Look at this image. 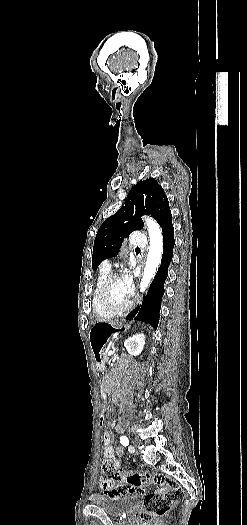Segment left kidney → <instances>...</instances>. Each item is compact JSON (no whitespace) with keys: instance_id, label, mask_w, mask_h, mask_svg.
I'll return each mask as SVG.
<instances>
[{"instance_id":"left-kidney-1","label":"left kidney","mask_w":247,"mask_h":525,"mask_svg":"<svg viewBox=\"0 0 247 525\" xmlns=\"http://www.w3.org/2000/svg\"><path fill=\"white\" fill-rule=\"evenodd\" d=\"M145 339V335H142V333H137V335H132V337L126 339L124 347H126L130 355H135V357H137V355H140L144 349Z\"/></svg>"}]
</instances>
